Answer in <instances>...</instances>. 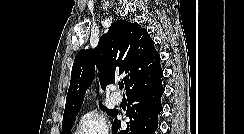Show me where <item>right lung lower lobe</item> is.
<instances>
[{
    "label": "right lung lower lobe",
    "mask_w": 244,
    "mask_h": 134,
    "mask_svg": "<svg viewBox=\"0 0 244 134\" xmlns=\"http://www.w3.org/2000/svg\"><path fill=\"white\" fill-rule=\"evenodd\" d=\"M162 76L163 74L127 93L129 106L126 116L130 121L127 128L123 129L121 122L115 119L112 123V134H155L158 114L162 110Z\"/></svg>",
    "instance_id": "right-lung-lower-lobe-1"
}]
</instances>
